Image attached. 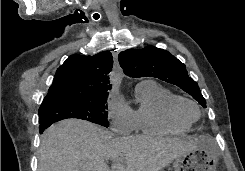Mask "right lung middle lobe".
Instances as JSON below:
<instances>
[{"mask_svg":"<svg viewBox=\"0 0 245 171\" xmlns=\"http://www.w3.org/2000/svg\"><path fill=\"white\" fill-rule=\"evenodd\" d=\"M107 97L108 94L90 99H59L43 102L39 108V123L78 118L108 127Z\"/></svg>","mask_w":245,"mask_h":171,"instance_id":"dd1d6c3e","label":"right lung middle lobe"}]
</instances>
